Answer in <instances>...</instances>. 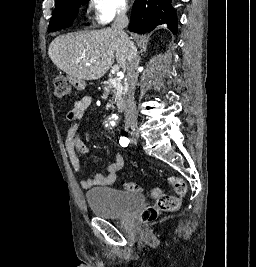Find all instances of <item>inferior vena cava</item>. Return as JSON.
<instances>
[{"label":"inferior vena cava","mask_w":256,"mask_h":267,"mask_svg":"<svg viewBox=\"0 0 256 267\" xmlns=\"http://www.w3.org/2000/svg\"><path fill=\"white\" fill-rule=\"evenodd\" d=\"M129 20L127 18V6H121L116 14V18L112 24V30L116 32L117 36L124 38L129 44L128 52V62L126 68V84L128 86V98L126 100L125 108V126L126 128H136L137 126V116H136V104L134 102V90L137 84L138 78V64L139 58L137 56V48L134 46L133 42H130L127 34H125L124 28H127Z\"/></svg>","instance_id":"inferior-vena-cava-1"}]
</instances>
